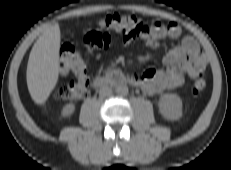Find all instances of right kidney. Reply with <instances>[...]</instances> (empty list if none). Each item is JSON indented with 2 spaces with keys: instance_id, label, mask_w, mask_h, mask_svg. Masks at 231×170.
<instances>
[{
  "instance_id": "obj_1",
  "label": "right kidney",
  "mask_w": 231,
  "mask_h": 170,
  "mask_svg": "<svg viewBox=\"0 0 231 170\" xmlns=\"http://www.w3.org/2000/svg\"><path fill=\"white\" fill-rule=\"evenodd\" d=\"M75 111V105L74 104H67L62 109V115L64 117H70Z\"/></svg>"
}]
</instances>
